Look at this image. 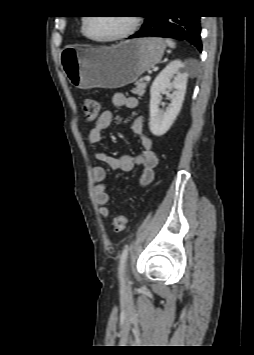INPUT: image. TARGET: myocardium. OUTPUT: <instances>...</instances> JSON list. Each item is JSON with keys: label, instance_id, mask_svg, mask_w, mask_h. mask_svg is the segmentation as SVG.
I'll return each mask as SVG.
<instances>
[{"label": "myocardium", "instance_id": "myocardium-1", "mask_svg": "<svg viewBox=\"0 0 254 355\" xmlns=\"http://www.w3.org/2000/svg\"><path fill=\"white\" fill-rule=\"evenodd\" d=\"M91 17H86L84 19L83 22V33L84 35L94 41V42H98V43H105V42H115V41H119V40H123L128 38L129 36H131L139 27L140 24V17L139 15H134L132 16V21L130 26L128 27V29H126L124 32L112 36V37H107V38H98V37H94L90 34L89 32V23H90Z\"/></svg>", "mask_w": 254, "mask_h": 355}]
</instances>
